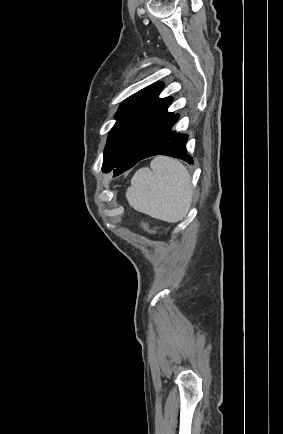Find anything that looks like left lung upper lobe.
I'll return each mask as SVG.
<instances>
[{
	"instance_id": "5c2ea615",
	"label": "left lung upper lobe",
	"mask_w": 283,
	"mask_h": 434,
	"mask_svg": "<svg viewBox=\"0 0 283 434\" xmlns=\"http://www.w3.org/2000/svg\"><path fill=\"white\" fill-rule=\"evenodd\" d=\"M162 82L154 83L128 97L115 115L104 150L102 170L110 172L120 163L140 158L173 116L167 109L171 97L159 98Z\"/></svg>"
}]
</instances>
